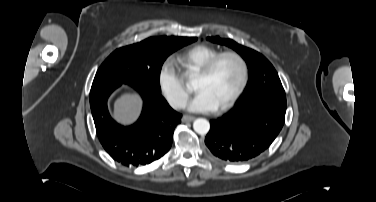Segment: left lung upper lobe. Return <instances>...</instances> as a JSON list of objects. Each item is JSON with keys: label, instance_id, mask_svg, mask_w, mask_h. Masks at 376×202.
I'll return each instance as SVG.
<instances>
[{"label": "left lung upper lobe", "instance_id": "1", "mask_svg": "<svg viewBox=\"0 0 376 202\" xmlns=\"http://www.w3.org/2000/svg\"><path fill=\"white\" fill-rule=\"evenodd\" d=\"M208 40L224 44L237 51L246 61L249 70V81L246 93L238 106H243L263 99L286 107L285 91L279 76L272 64L260 53L244 47L231 39L218 36Z\"/></svg>", "mask_w": 376, "mask_h": 202}]
</instances>
